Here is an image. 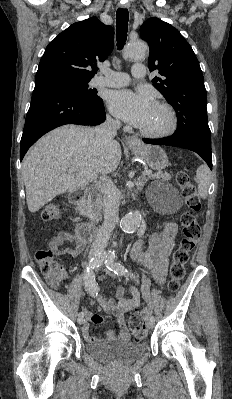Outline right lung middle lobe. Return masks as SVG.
<instances>
[{"label":"right lung middle lobe","instance_id":"right-lung-middle-lobe-1","mask_svg":"<svg viewBox=\"0 0 232 399\" xmlns=\"http://www.w3.org/2000/svg\"><path fill=\"white\" fill-rule=\"evenodd\" d=\"M50 81L59 82L62 85L75 90L83 99L95 101L100 98L99 96H97L95 90L88 89V82L90 81L89 79L59 78Z\"/></svg>","mask_w":232,"mask_h":399}]
</instances>
